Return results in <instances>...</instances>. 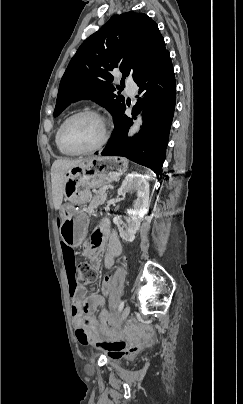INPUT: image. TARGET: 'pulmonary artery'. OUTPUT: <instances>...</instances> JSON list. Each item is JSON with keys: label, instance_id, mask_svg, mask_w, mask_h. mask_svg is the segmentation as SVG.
Listing matches in <instances>:
<instances>
[{"label": "pulmonary artery", "instance_id": "e3ab8cb5", "mask_svg": "<svg viewBox=\"0 0 243 404\" xmlns=\"http://www.w3.org/2000/svg\"><path fill=\"white\" fill-rule=\"evenodd\" d=\"M125 89H126V93L129 96H133L136 93V91L138 89V86H137L136 83H126V88Z\"/></svg>", "mask_w": 243, "mask_h": 404}]
</instances>
